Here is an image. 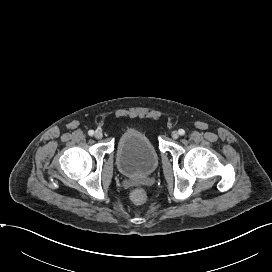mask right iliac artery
<instances>
[{"label":"right iliac artery","instance_id":"obj_1","mask_svg":"<svg viewBox=\"0 0 272 272\" xmlns=\"http://www.w3.org/2000/svg\"><path fill=\"white\" fill-rule=\"evenodd\" d=\"M94 131L93 130H89V132H88V134L90 135V136H93L94 135Z\"/></svg>","mask_w":272,"mask_h":272}]
</instances>
